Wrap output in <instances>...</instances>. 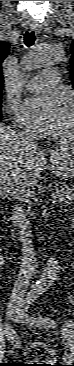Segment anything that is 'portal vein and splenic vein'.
Here are the masks:
<instances>
[{
	"instance_id": "1",
	"label": "portal vein and splenic vein",
	"mask_w": 74,
	"mask_h": 366,
	"mask_svg": "<svg viewBox=\"0 0 74 366\" xmlns=\"http://www.w3.org/2000/svg\"><path fill=\"white\" fill-rule=\"evenodd\" d=\"M52 201L53 202H56L57 201V199L59 198V195L58 194H56V193H54V194H52Z\"/></svg>"
}]
</instances>
